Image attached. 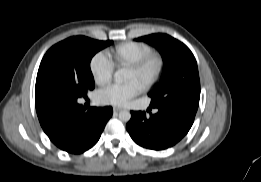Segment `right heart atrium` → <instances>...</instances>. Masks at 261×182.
Listing matches in <instances>:
<instances>
[{"mask_svg": "<svg viewBox=\"0 0 261 182\" xmlns=\"http://www.w3.org/2000/svg\"><path fill=\"white\" fill-rule=\"evenodd\" d=\"M90 72L97 85L108 83L114 72V64L106 53L99 52L90 61Z\"/></svg>", "mask_w": 261, "mask_h": 182, "instance_id": "1", "label": "right heart atrium"}]
</instances>
